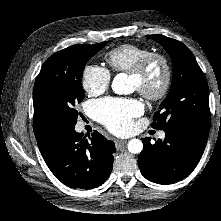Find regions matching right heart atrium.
<instances>
[{"label":"right heart atrium","instance_id":"obj_1","mask_svg":"<svg viewBox=\"0 0 221 221\" xmlns=\"http://www.w3.org/2000/svg\"><path fill=\"white\" fill-rule=\"evenodd\" d=\"M111 83V73L101 66L88 64L82 72V86L89 95L105 92Z\"/></svg>","mask_w":221,"mask_h":221}]
</instances>
